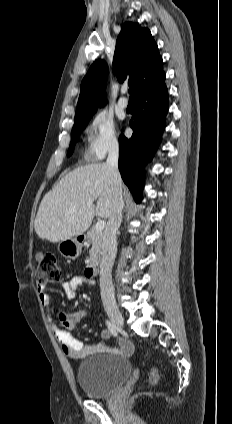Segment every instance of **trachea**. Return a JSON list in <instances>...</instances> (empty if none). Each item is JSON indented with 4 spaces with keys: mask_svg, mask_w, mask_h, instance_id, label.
I'll list each match as a JSON object with an SVG mask.
<instances>
[{
    "mask_svg": "<svg viewBox=\"0 0 232 424\" xmlns=\"http://www.w3.org/2000/svg\"><path fill=\"white\" fill-rule=\"evenodd\" d=\"M129 94H130V99H134V96H133L134 88L133 87L129 88Z\"/></svg>",
    "mask_w": 232,
    "mask_h": 424,
    "instance_id": "3493384b",
    "label": "trachea"
}]
</instances>
